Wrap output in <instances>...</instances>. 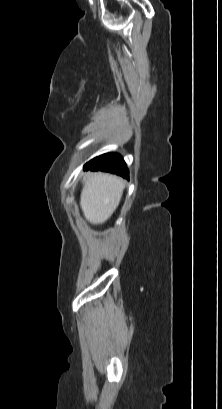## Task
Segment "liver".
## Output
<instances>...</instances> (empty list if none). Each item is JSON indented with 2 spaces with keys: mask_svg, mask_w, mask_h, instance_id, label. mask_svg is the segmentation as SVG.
I'll use <instances>...</instances> for the list:
<instances>
[{
  "mask_svg": "<svg viewBox=\"0 0 222 409\" xmlns=\"http://www.w3.org/2000/svg\"><path fill=\"white\" fill-rule=\"evenodd\" d=\"M80 196L83 214L91 224L106 222L118 207L125 182L107 173H88Z\"/></svg>",
  "mask_w": 222,
  "mask_h": 409,
  "instance_id": "liver-1",
  "label": "liver"
}]
</instances>
